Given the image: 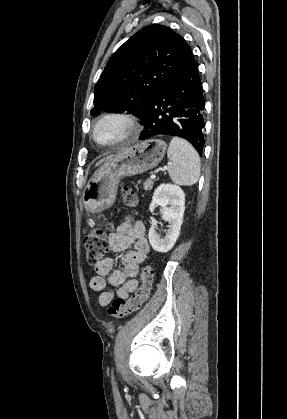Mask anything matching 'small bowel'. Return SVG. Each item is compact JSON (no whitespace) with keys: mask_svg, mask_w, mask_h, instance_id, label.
<instances>
[{"mask_svg":"<svg viewBox=\"0 0 287 419\" xmlns=\"http://www.w3.org/2000/svg\"><path fill=\"white\" fill-rule=\"evenodd\" d=\"M146 228L143 222L123 223L115 232L108 237L111 251L124 252L122 269H114L113 259L106 258L95 266L97 276L91 280V287L100 293L99 303L102 306L109 305L114 297L128 298L139 285L137 275L140 265L150 251L149 242L146 238ZM133 246V249H129ZM108 285L117 287L116 290L108 288Z\"/></svg>","mask_w":287,"mask_h":419,"instance_id":"1","label":"small bowel"}]
</instances>
